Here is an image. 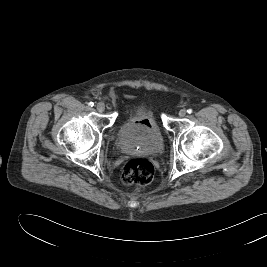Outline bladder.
Segmentation results:
<instances>
[{
	"label": "bladder",
	"mask_w": 267,
	"mask_h": 267,
	"mask_svg": "<svg viewBox=\"0 0 267 267\" xmlns=\"http://www.w3.org/2000/svg\"><path fill=\"white\" fill-rule=\"evenodd\" d=\"M153 127L141 132L132 118L125 119L118 127L116 146L124 154L160 155L164 149V140L159 126L150 116Z\"/></svg>",
	"instance_id": "bladder-1"
}]
</instances>
